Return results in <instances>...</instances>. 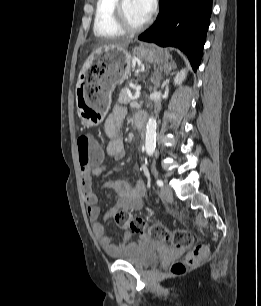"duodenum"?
Listing matches in <instances>:
<instances>
[{"instance_id":"duodenum-1","label":"duodenum","mask_w":261,"mask_h":306,"mask_svg":"<svg viewBox=\"0 0 261 306\" xmlns=\"http://www.w3.org/2000/svg\"><path fill=\"white\" fill-rule=\"evenodd\" d=\"M146 114L145 113H138L134 116V125L139 130V133L143 134V129L146 123Z\"/></svg>"}]
</instances>
